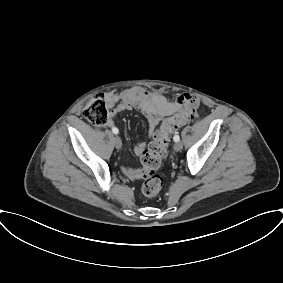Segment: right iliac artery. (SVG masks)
<instances>
[{
  "instance_id": "right-iliac-artery-1",
  "label": "right iliac artery",
  "mask_w": 283,
  "mask_h": 283,
  "mask_svg": "<svg viewBox=\"0 0 283 283\" xmlns=\"http://www.w3.org/2000/svg\"><path fill=\"white\" fill-rule=\"evenodd\" d=\"M112 132H113L114 134H118V133H119V130H118L116 127H113V128H112Z\"/></svg>"
}]
</instances>
